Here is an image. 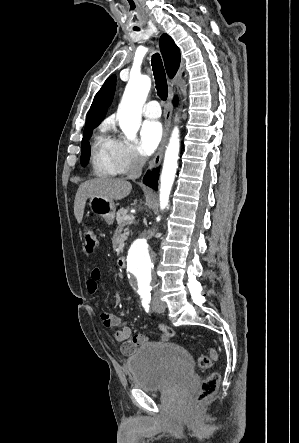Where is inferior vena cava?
<instances>
[{
	"label": "inferior vena cava",
	"instance_id": "inferior-vena-cava-1",
	"mask_svg": "<svg viewBox=\"0 0 299 443\" xmlns=\"http://www.w3.org/2000/svg\"><path fill=\"white\" fill-rule=\"evenodd\" d=\"M146 162V158L140 154L134 157L129 173L127 174V179H137L141 176L142 168ZM157 293V292H155Z\"/></svg>",
	"mask_w": 299,
	"mask_h": 443
}]
</instances>
